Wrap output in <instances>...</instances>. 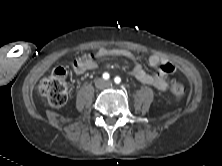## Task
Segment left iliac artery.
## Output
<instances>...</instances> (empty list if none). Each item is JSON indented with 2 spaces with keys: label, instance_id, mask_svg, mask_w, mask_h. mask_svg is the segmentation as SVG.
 Instances as JSON below:
<instances>
[{
  "label": "left iliac artery",
  "instance_id": "44dca946",
  "mask_svg": "<svg viewBox=\"0 0 222 166\" xmlns=\"http://www.w3.org/2000/svg\"><path fill=\"white\" fill-rule=\"evenodd\" d=\"M114 81L116 84H119L121 82V78L117 76L114 78Z\"/></svg>",
  "mask_w": 222,
  "mask_h": 166
}]
</instances>
